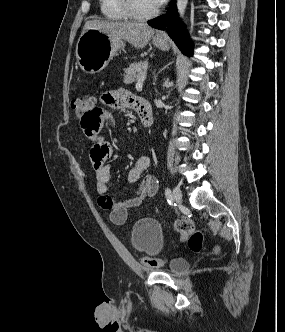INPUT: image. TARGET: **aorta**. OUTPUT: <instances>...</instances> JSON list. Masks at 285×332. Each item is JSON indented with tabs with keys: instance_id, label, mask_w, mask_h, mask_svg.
<instances>
[{
	"instance_id": "762f6f07",
	"label": "aorta",
	"mask_w": 285,
	"mask_h": 332,
	"mask_svg": "<svg viewBox=\"0 0 285 332\" xmlns=\"http://www.w3.org/2000/svg\"><path fill=\"white\" fill-rule=\"evenodd\" d=\"M187 3H188V0H177V9H178L179 16L181 18L184 17Z\"/></svg>"
}]
</instances>
